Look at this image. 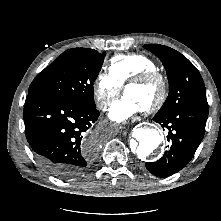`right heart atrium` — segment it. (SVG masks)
<instances>
[{"label":"right heart atrium","instance_id":"d8ad5b80","mask_svg":"<svg viewBox=\"0 0 221 221\" xmlns=\"http://www.w3.org/2000/svg\"><path fill=\"white\" fill-rule=\"evenodd\" d=\"M121 85L107 72H100L94 82L93 94L97 107L106 110L120 93Z\"/></svg>","mask_w":221,"mask_h":221}]
</instances>
